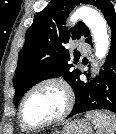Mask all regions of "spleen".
Listing matches in <instances>:
<instances>
[{"instance_id": "3e777b00", "label": "spleen", "mask_w": 116, "mask_h": 134, "mask_svg": "<svg viewBox=\"0 0 116 134\" xmlns=\"http://www.w3.org/2000/svg\"><path fill=\"white\" fill-rule=\"evenodd\" d=\"M86 117L97 129V134H115L116 117L111 112L93 111L86 113Z\"/></svg>"}]
</instances>
